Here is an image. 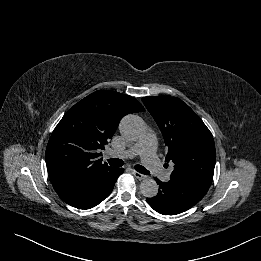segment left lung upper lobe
Segmentation results:
<instances>
[{
    "label": "left lung upper lobe",
    "mask_w": 261,
    "mask_h": 261,
    "mask_svg": "<svg viewBox=\"0 0 261 261\" xmlns=\"http://www.w3.org/2000/svg\"><path fill=\"white\" fill-rule=\"evenodd\" d=\"M168 147L166 162L175 164L170 176L210 187L216 153L213 136L199 116L176 97L142 98Z\"/></svg>",
    "instance_id": "5c2ea615"
}]
</instances>
